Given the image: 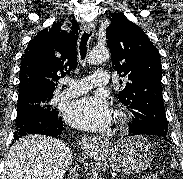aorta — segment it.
<instances>
[{"label": "aorta", "instance_id": "aorta-1", "mask_svg": "<svg viewBox=\"0 0 183 179\" xmlns=\"http://www.w3.org/2000/svg\"><path fill=\"white\" fill-rule=\"evenodd\" d=\"M109 57L110 52L107 48H95L89 53L87 61L89 64H99L108 60Z\"/></svg>", "mask_w": 183, "mask_h": 179}]
</instances>
